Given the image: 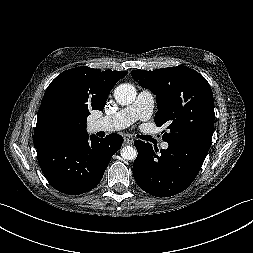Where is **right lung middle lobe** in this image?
<instances>
[{
    "label": "right lung middle lobe",
    "instance_id": "dd1d6c3e",
    "mask_svg": "<svg viewBox=\"0 0 253 253\" xmlns=\"http://www.w3.org/2000/svg\"><path fill=\"white\" fill-rule=\"evenodd\" d=\"M48 121L52 129L62 131L70 124L71 116L66 110L54 107L50 111Z\"/></svg>",
    "mask_w": 253,
    "mask_h": 253
}]
</instances>
